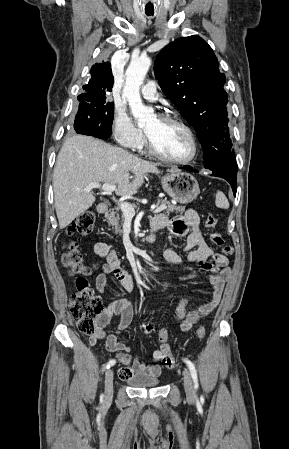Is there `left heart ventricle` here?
Listing matches in <instances>:
<instances>
[{
    "instance_id": "obj_1",
    "label": "left heart ventricle",
    "mask_w": 289,
    "mask_h": 449,
    "mask_svg": "<svg viewBox=\"0 0 289 449\" xmlns=\"http://www.w3.org/2000/svg\"><path fill=\"white\" fill-rule=\"evenodd\" d=\"M145 132L156 148L168 157L185 159L192 153V145L187 133L175 124L153 118L145 126Z\"/></svg>"
}]
</instances>
